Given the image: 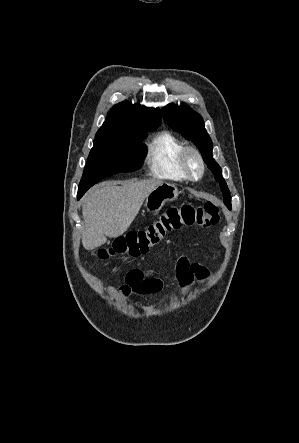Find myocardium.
Returning a JSON list of instances; mask_svg holds the SVG:
<instances>
[{
	"label": "myocardium",
	"mask_w": 299,
	"mask_h": 443,
	"mask_svg": "<svg viewBox=\"0 0 299 443\" xmlns=\"http://www.w3.org/2000/svg\"><path fill=\"white\" fill-rule=\"evenodd\" d=\"M180 164L186 178L197 181L205 172V162L199 150L193 146H186L182 151Z\"/></svg>",
	"instance_id": "obj_1"
}]
</instances>
